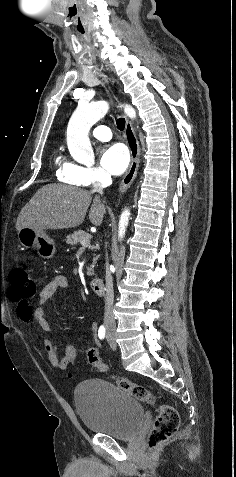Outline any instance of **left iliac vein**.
<instances>
[{
    "label": "left iliac vein",
    "instance_id": "1",
    "mask_svg": "<svg viewBox=\"0 0 236 477\" xmlns=\"http://www.w3.org/2000/svg\"><path fill=\"white\" fill-rule=\"evenodd\" d=\"M108 341H109L110 347H111L113 350H115V349H116V342H115V340H114V339H113V340H109V339H108Z\"/></svg>",
    "mask_w": 236,
    "mask_h": 477
}]
</instances>
